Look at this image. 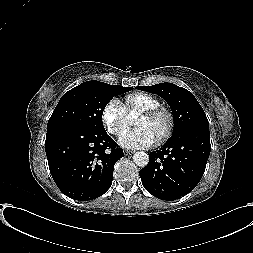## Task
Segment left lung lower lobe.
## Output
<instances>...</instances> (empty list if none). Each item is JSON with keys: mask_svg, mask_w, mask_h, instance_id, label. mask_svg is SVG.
<instances>
[{"mask_svg": "<svg viewBox=\"0 0 253 253\" xmlns=\"http://www.w3.org/2000/svg\"><path fill=\"white\" fill-rule=\"evenodd\" d=\"M210 150L209 129L176 133L160 150L149 154V163L139 171L143 186L162 200L183 197L201 180Z\"/></svg>", "mask_w": 253, "mask_h": 253, "instance_id": "obj_1", "label": "left lung lower lobe"}]
</instances>
